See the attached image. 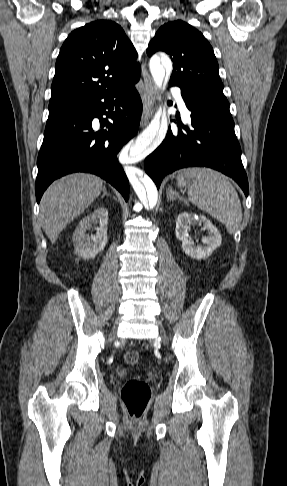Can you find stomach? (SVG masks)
Here are the masks:
<instances>
[{
  "instance_id": "stomach-1",
  "label": "stomach",
  "mask_w": 287,
  "mask_h": 486,
  "mask_svg": "<svg viewBox=\"0 0 287 486\" xmlns=\"http://www.w3.org/2000/svg\"><path fill=\"white\" fill-rule=\"evenodd\" d=\"M177 184L179 187H185L188 184L187 176L179 174L177 176Z\"/></svg>"
}]
</instances>
